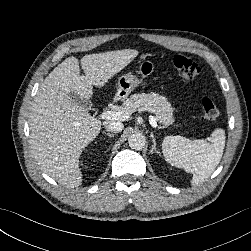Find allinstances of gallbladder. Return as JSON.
<instances>
[{"mask_svg": "<svg viewBox=\"0 0 251 251\" xmlns=\"http://www.w3.org/2000/svg\"><path fill=\"white\" fill-rule=\"evenodd\" d=\"M69 96L71 97V99L77 103L78 105H80L81 107L85 108L86 110H90L92 107V103L90 100H85V99H81L78 95H76L75 93H70Z\"/></svg>", "mask_w": 251, "mask_h": 251, "instance_id": "bac80fb5", "label": "gallbladder"}]
</instances>
